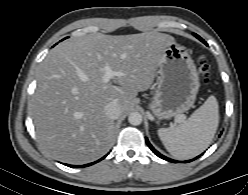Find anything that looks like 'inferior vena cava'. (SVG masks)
Instances as JSON below:
<instances>
[{"mask_svg": "<svg viewBox=\"0 0 248 195\" xmlns=\"http://www.w3.org/2000/svg\"><path fill=\"white\" fill-rule=\"evenodd\" d=\"M104 113L111 120H115L119 118L122 110L120 105L116 101H111L105 105Z\"/></svg>", "mask_w": 248, "mask_h": 195, "instance_id": "1", "label": "inferior vena cava"}]
</instances>
